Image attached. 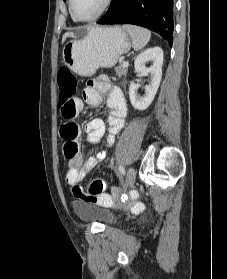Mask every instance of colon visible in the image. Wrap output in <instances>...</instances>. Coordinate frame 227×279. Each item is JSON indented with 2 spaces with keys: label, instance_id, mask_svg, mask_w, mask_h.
Wrapping results in <instances>:
<instances>
[{
  "label": "colon",
  "instance_id": "1",
  "mask_svg": "<svg viewBox=\"0 0 227 279\" xmlns=\"http://www.w3.org/2000/svg\"><path fill=\"white\" fill-rule=\"evenodd\" d=\"M58 80L61 87V114L65 120H71L77 115L76 93L78 90L77 81L74 74L66 68L58 71ZM64 139L63 154L67 159H72L77 155L78 146L76 138L79 128L76 125L66 123L62 128ZM106 183L101 178L91 180L85 188H76L73 193L80 199L96 204L109 203L112 201L111 195L105 192ZM117 201V200H114Z\"/></svg>",
  "mask_w": 227,
  "mask_h": 279
}]
</instances>
